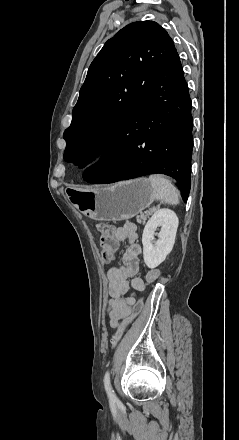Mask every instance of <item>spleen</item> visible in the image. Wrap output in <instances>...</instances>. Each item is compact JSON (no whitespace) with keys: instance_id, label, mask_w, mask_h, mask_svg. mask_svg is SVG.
<instances>
[{"instance_id":"3e777b00","label":"spleen","mask_w":239,"mask_h":440,"mask_svg":"<svg viewBox=\"0 0 239 440\" xmlns=\"http://www.w3.org/2000/svg\"><path fill=\"white\" fill-rule=\"evenodd\" d=\"M149 180L154 188L155 200H161L165 204H179L180 192L171 184L170 180H166L162 174L149 176Z\"/></svg>"}]
</instances>
